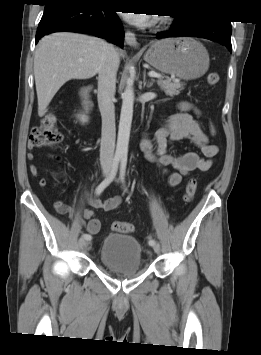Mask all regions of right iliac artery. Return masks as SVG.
<instances>
[{
	"instance_id": "1",
	"label": "right iliac artery",
	"mask_w": 261,
	"mask_h": 355,
	"mask_svg": "<svg viewBox=\"0 0 261 355\" xmlns=\"http://www.w3.org/2000/svg\"><path fill=\"white\" fill-rule=\"evenodd\" d=\"M119 161L120 157L115 156L112 163V170L109 176L105 180H103L96 188L95 193L97 196H99L103 192V190L114 180L118 171ZM82 237L87 241L91 240V235L89 234H83Z\"/></svg>"
}]
</instances>
